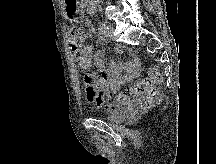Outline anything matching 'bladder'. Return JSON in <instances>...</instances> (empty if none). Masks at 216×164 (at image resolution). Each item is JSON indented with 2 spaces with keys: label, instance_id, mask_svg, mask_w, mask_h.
I'll return each mask as SVG.
<instances>
[{
  "label": "bladder",
  "instance_id": "obj_1",
  "mask_svg": "<svg viewBox=\"0 0 216 164\" xmlns=\"http://www.w3.org/2000/svg\"><path fill=\"white\" fill-rule=\"evenodd\" d=\"M129 107L127 106H118L116 109L111 111L109 115L105 117V120L114 123L120 124L122 123L128 115Z\"/></svg>",
  "mask_w": 216,
  "mask_h": 164
}]
</instances>
